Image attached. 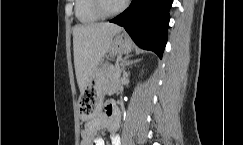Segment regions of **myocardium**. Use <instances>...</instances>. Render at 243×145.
<instances>
[{"label": "myocardium", "mask_w": 243, "mask_h": 145, "mask_svg": "<svg viewBox=\"0 0 243 145\" xmlns=\"http://www.w3.org/2000/svg\"><path fill=\"white\" fill-rule=\"evenodd\" d=\"M129 0H124L123 3L116 9L110 10L106 7L105 0H93V8L95 12L102 18L111 17L124 11L128 6Z\"/></svg>", "instance_id": "f54148a6"}]
</instances>
